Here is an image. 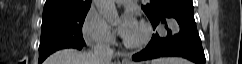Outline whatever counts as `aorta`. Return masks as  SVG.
Listing matches in <instances>:
<instances>
[{
    "instance_id": "aorta-1",
    "label": "aorta",
    "mask_w": 242,
    "mask_h": 64,
    "mask_svg": "<svg viewBox=\"0 0 242 64\" xmlns=\"http://www.w3.org/2000/svg\"><path fill=\"white\" fill-rule=\"evenodd\" d=\"M99 13L108 23L114 24L118 21L119 15L114 0H94Z\"/></svg>"
}]
</instances>
